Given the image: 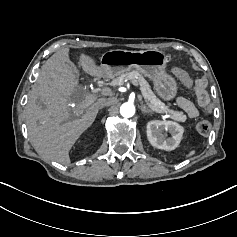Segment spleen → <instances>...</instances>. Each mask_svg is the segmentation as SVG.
<instances>
[{
	"instance_id": "obj_1",
	"label": "spleen",
	"mask_w": 237,
	"mask_h": 237,
	"mask_svg": "<svg viewBox=\"0 0 237 237\" xmlns=\"http://www.w3.org/2000/svg\"><path fill=\"white\" fill-rule=\"evenodd\" d=\"M194 154H195V151L192 150V151H190V153L187 155V157L192 156V155H194Z\"/></svg>"
}]
</instances>
